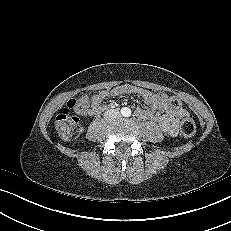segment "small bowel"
<instances>
[{
  "label": "small bowel",
  "mask_w": 231,
  "mask_h": 231,
  "mask_svg": "<svg viewBox=\"0 0 231 231\" xmlns=\"http://www.w3.org/2000/svg\"><path fill=\"white\" fill-rule=\"evenodd\" d=\"M128 93L143 97L148 105L147 109L137 107L136 115L157 122L162 130L170 136L177 135L179 119L189 115L184 109H173L169 105V97L165 93H155L129 84L105 89L92 96H82L79 99L83 106L82 114L97 115L106 109L103 104L106 99Z\"/></svg>",
  "instance_id": "small-bowel-1"
}]
</instances>
